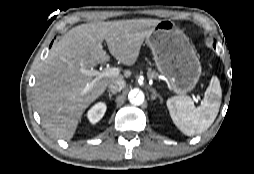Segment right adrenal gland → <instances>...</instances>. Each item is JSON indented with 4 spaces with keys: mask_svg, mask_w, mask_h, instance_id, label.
<instances>
[{
    "mask_svg": "<svg viewBox=\"0 0 254 174\" xmlns=\"http://www.w3.org/2000/svg\"><path fill=\"white\" fill-rule=\"evenodd\" d=\"M107 93L109 94V97H110V99H111V96H112V95H115L117 92L108 90Z\"/></svg>",
    "mask_w": 254,
    "mask_h": 174,
    "instance_id": "1",
    "label": "right adrenal gland"
}]
</instances>
